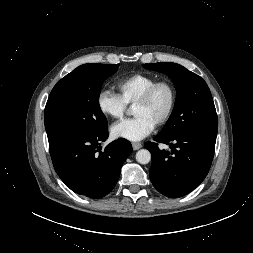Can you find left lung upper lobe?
<instances>
[{"instance_id": "obj_1", "label": "left lung upper lobe", "mask_w": 253, "mask_h": 253, "mask_svg": "<svg viewBox=\"0 0 253 253\" xmlns=\"http://www.w3.org/2000/svg\"><path fill=\"white\" fill-rule=\"evenodd\" d=\"M143 66L168 75L177 91L173 112L159 136L172 138L190 132L217 136L218 120L213 98L200 76L176 63L160 62Z\"/></svg>"}]
</instances>
